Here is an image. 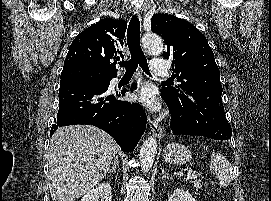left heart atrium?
<instances>
[{
  "label": "left heart atrium",
  "instance_id": "1",
  "mask_svg": "<svg viewBox=\"0 0 271 201\" xmlns=\"http://www.w3.org/2000/svg\"><path fill=\"white\" fill-rule=\"evenodd\" d=\"M138 100L155 111L159 109V103L154 96V92L150 87H144L138 94Z\"/></svg>",
  "mask_w": 271,
  "mask_h": 201
}]
</instances>
